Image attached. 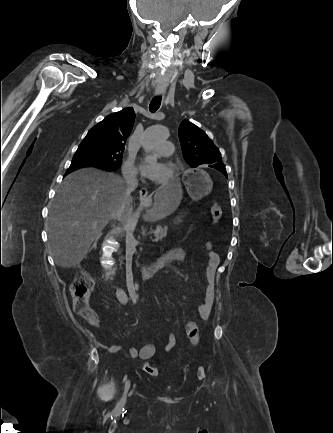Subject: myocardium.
I'll use <instances>...</instances> for the list:
<instances>
[{
  "label": "myocardium",
  "instance_id": "obj_1",
  "mask_svg": "<svg viewBox=\"0 0 333 433\" xmlns=\"http://www.w3.org/2000/svg\"><path fill=\"white\" fill-rule=\"evenodd\" d=\"M166 165L168 167V175H167V178L160 183L161 186H166V185L171 184L173 181L174 173H175V165L173 163L167 162Z\"/></svg>",
  "mask_w": 333,
  "mask_h": 433
}]
</instances>
